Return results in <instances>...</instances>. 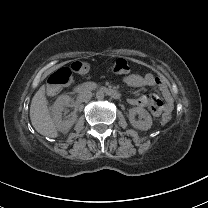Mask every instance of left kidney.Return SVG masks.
I'll return each mask as SVG.
<instances>
[{
	"label": "left kidney",
	"mask_w": 208,
	"mask_h": 208,
	"mask_svg": "<svg viewBox=\"0 0 208 208\" xmlns=\"http://www.w3.org/2000/svg\"><path fill=\"white\" fill-rule=\"evenodd\" d=\"M138 114L140 119L144 120H135V115ZM129 121L132 124V126L136 129L140 130H148L152 126V117L148 113L147 110H145L142 107H134L129 109Z\"/></svg>",
	"instance_id": "obj_1"
}]
</instances>
